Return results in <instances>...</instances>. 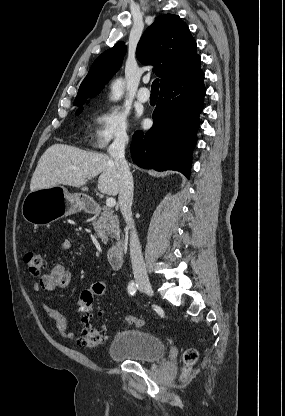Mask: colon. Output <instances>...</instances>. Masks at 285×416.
Instances as JSON below:
<instances>
[{
    "label": "colon",
    "mask_w": 285,
    "mask_h": 416,
    "mask_svg": "<svg viewBox=\"0 0 285 416\" xmlns=\"http://www.w3.org/2000/svg\"><path fill=\"white\" fill-rule=\"evenodd\" d=\"M24 261L28 266L29 272L38 275L45 264L44 256L38 250H29L25 253ZM105 284L102 282H94L88 288L84 289L79 297V312L82 316V328L80 330L78 342L86 348H97L102 346L107 339L106 331L103 327L98 326L94 322L95 297L105 294ZM126 322L135 327H142L145 321L141 318L127 316ZM198 358L197 352L190 349L184 354V361L188 369Z\"/></svg>",
    "instance_id": "5ec220e1"
}]
</instances>
